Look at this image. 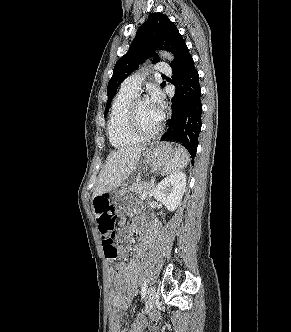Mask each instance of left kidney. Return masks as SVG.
Masks as SVG:
<instances>
[{
  "mask_svg": "<svg viewBox=\"0 0 291 332\" xmlns=\"http://www.w3.org/2000/svg\"><path fill=\"white\" fill-rule=\"evenodd\" d=\"M186 187V175L175 172L161 180L153 191L154 198L169 211H174L180 204Z\"/></svg>",
  "mask_w": 291,
  "mask_h": 332,
  "instance_id": "5707ae66",
  "label": "left kidney"
}]
</instances>
